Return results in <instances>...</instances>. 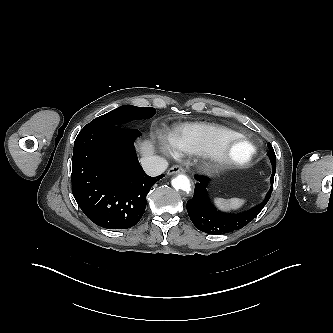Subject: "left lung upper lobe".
I'll use <instances>...</instances> for the list:
<instances>
[{"mask_svg":"<svg viewBox=\"0 0 333 333\" xmlns=\"http://www.w3.org/2000/svg\"><path fill=\"white\" fill-rule=\"evenodd\" d=\"M267 146L269 148V152L267 154H268L270 162L272 164V168L276 167V156H275V152L273 150V147L270 143H268Z\"/></svg>","mask_w":333,"mask_h":333,"instance_id":"1","label":"left lung upper lobe"}]
</instances>
